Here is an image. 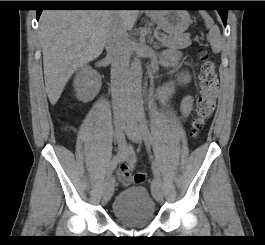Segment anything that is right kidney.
Segmentation results:
<instances>
[{
  "label": "right kidney",
  "instance_id": "1",
  "mask_svg": "<svg viewBox=\"0 0 265 245\" xmlns=\"http://www.w3.org/2000/svg\"><path fill=\"white\" fill-rule=\"evenodd\" d=\"M74 90L80 101L88 102L95 98L101 88V77L90 66L82 67L74 78Z\"/></svg>",
  "mask_w": 265,
  "mask_h": 245
}]
</instances>
